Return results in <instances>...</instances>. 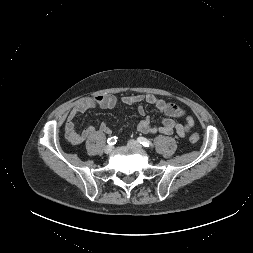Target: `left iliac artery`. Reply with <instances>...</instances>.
Segmentation results:
<instances>
[{
	"instance_id": "1",
	"label": "left iliac artery",
	"mask_w": 253,
	"mask_h": 253,
	"mask_svg": "<svg viewBox=\"0 0 253 253\" xmlns=\"http://www.w3.org/2000/svg\"><path fill=\"white\" fill-rule=\"evenodd\" d=\"M137 141L144 147H153V143L150 140L146 139L145 137H139Z\"/></svg>"
}]
</instances>
